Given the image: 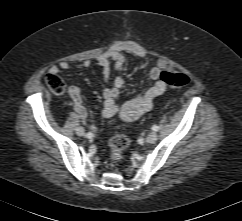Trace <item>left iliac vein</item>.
Instances as JSON below:
<instances>
[{
    "label": "left iliac vein",
    "mask_w": 242,
    "mask_h": 221,
    "mask_svg": "<svg viewBox=\"0 0 242 221\" xmlns=\"http://www.w3.org/2000/svg\"><path fill=\"white\" fill-rule=\"evenodd\" d=\"M157 139H158L157 134L154 133V132H151V133H149V134L147 135V137H146V142L152 144V143H155V142L157 141Z\"/></svg>",
    "instance_id": "1"
}]
</instances>
